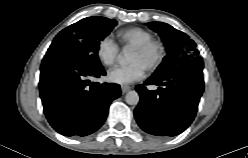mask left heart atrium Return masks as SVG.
I'll return each instance as SVG.
<instances>
[{
	"instance_id": "left-heart-atrium-1",
	"label": "left heart atrium",
	"mask_w": 248,
	"mask_h": 158,
	"mask_svg": "<svg viewBox=\"0 0 248 158\" xmlns=\"http://www.w3.org/2000/svg\"><path fill=\"white\" fill-rule=\"evenodd\" d=\"M146 72V67L139 62L131 63L124 67H117L109 71L108 80L116 84H130L141 80Z\"/></svg>"
}]
</instances>
